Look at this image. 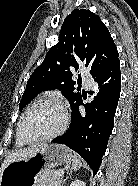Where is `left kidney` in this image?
<instances>
[{
	"instance_id": "1",
	"label": "left kidney",
	"mask_w": 138,
	"mask_h": 186,
	"mask_svg": "<svg viewBox=\"0 0 138 186\" xmlns=\"http://www.w3.org/2000/svg\"><path fill=\"white\" fill-rule=\"evenodd\" d=\"M70 186H86L84 181H80V180H75L73 181Z\"/></svg>"
}]
</instances>
